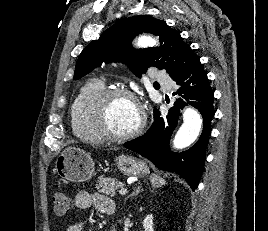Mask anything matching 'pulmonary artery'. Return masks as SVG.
Segmentation results:
<instances>
[{"label":"pulmonary artery","mask_w":268,"mask_h":231,"mask_svg":"<svg viewBox=\"0 0 268 231\" xmlns=\"http://www.w3.org/2000/svg\"><path fill=\"white\" fill-rule=\"evenodd\" d=\"M155 79H157L164 87L166 92H170L172 89V84L170 82L164 83V80L166 79V75L164 72H156L154 74Z\"/></svg>","instance_id":"pulmonary-artery-1"}]
</instances>
